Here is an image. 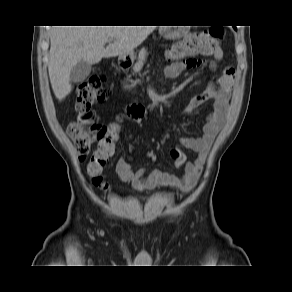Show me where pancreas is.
Segmentation results:
<instances>
[{
    "mask_svg": "<svg viewBox=\"0 0 292 292\" xmlns=\"http://www.w3.org/2000/svg\"><path fill=\"white\" fill-rule=\"evenodd\" d=\"M147 57V51L146 49H142L138 54L137 62L133 66V72L138 73L141 71Z\"/></svg>",
    "mask_w": 292,
    "mask_h": 292,
    "instance_id": "cf45deb5",
    "label": "pancreas"
}]
</instances>
